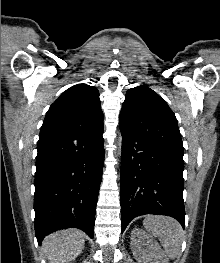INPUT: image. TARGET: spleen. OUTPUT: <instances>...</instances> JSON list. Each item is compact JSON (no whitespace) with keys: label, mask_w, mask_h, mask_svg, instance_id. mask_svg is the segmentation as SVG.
I'll return each mask as SVG.
<instances>
[{"label":"spleen","mask_w":220,"mask_h":263,"mask_svg":"<svg viewBox=\"0 0 220 263\" xmlns=\"http://www.w3.org/2000/svg\"><path fill=\"white\" fill-rule=\"evenodd\" d=\"M143 225L150 234L159 239L169 258L175 259L180 256L183 230L175 219L149 215L144 219Z\"/></svg>","instance_id":"spleen-1"}]
</instances>
